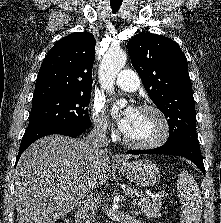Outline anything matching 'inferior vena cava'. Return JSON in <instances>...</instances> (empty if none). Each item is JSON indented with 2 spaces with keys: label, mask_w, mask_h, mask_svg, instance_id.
Segmentation results:
<instances>
[{
  "label": "inferior vena cava",
  "mask_w": 221,
  "mask_h": 223,
  "mask_svg": "<svg viewBox=\"0 0 221 223\" xmlns=\"http://www.w3.org/2000/svg\"><path fill=\"white\" fill-rule=\"evenodd\" d=\"M106 129L107 125L105 123L95 124L94 128L92 129L85 141L89 154L94 157L97 162L99 161V157L103 152L102 147H107L109 144V139L106 136ZM96 188L98 187L95 186L94 189ZM90 197L92 208L91 220L94 221V217L98 214L100 197L95 196V194L93 197V193Z\"/></svg>",
  "instance_id": "inferior-vena-cava-1"
}]
</instances>
